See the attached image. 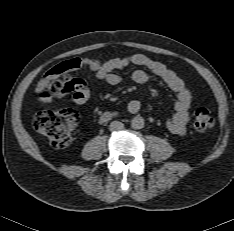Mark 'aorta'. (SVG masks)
Listing matches in <instances>:
<instances>
[{"instance_id": "obj_1", "label": "aorta", "mask_w": 234, "mask_h": 231, "mask_svg": "<svg viewBox=\"0 0 234 231\" xmlns=\"http://www.w3.org/2000/svg\"><path fill=\"white\" fill-rule=\"evenodd\" d=\"M131 127L133 129H142L144 127V119L140 115L135 116L131 120Z\"/></svg>"}]
</instances>
